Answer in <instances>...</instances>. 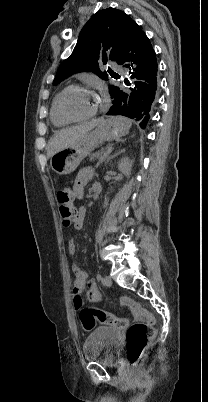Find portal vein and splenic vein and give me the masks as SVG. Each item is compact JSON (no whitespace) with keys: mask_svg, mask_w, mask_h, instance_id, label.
<instances>
[{"mask_svg":"<svg viewBox=\"0 0 208 402\" xmlns=\"http://www.w3.org/2000/svg\"><path fill=\"white\" fill-rule=\"evenodd\" d=\"M107 148H108V149H107V152H104V153H103V156H104V157H107L108 154H110V153L112 152V145H111V144H108V145H107ZM92 159H93V160L99 159V156L93 155V156H92Z\"/></svg>","mask_w":208,"mask_h":402,"instance_id":"1","label":"portal vein and splenic vein"}]
</instances>
